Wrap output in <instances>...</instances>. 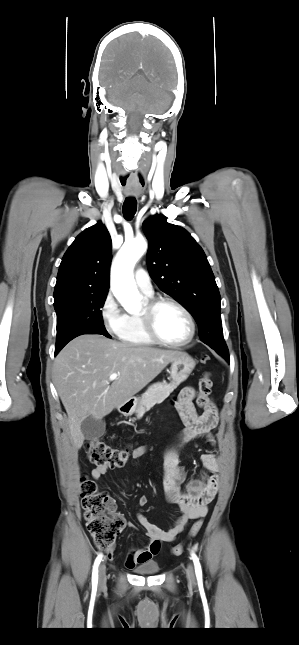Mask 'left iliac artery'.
I'll list each match as a JSON object with an SVG mask.
<instances>
[{
  "label": "left iliac artery",
  "mask_w": 299,
  "mask_h": 645,
  "mask_svg": "<svg viewBox=\"0 0 299 645\" xmlns=\"http://www.w3.org/2000/svg\"><path fill=\"white\" fill-rule=\"evenodd\" d=\"M191 556H192V560H193L194 567H195L196 577L200 581V580H202V569H201L199 559L196 556V554L193 553V552H191Z\"/></svg>",
  "instance_id": "obj_1"
}]
</instances>
